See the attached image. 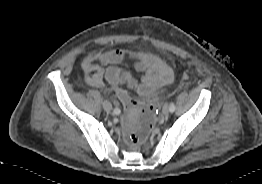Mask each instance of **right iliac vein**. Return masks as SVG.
Masks as SVG:
<instances>
[{
  "mask_svg": "<svg viewBox=\"0 0 262 184\" xmlns=\"http://www.w3.org/2000/svg\"><path fill=\"white\" fill-rule=\"evenodd\" d=\"M103 108L105 111L110 112L112 110V104L109 101H104Z\"/></svg>",
  "mask_w": 262,
  "mask_h": 184,
  "instance_id": "63e3f726",
  "label": "right iliac vein"
}]
</instances>
